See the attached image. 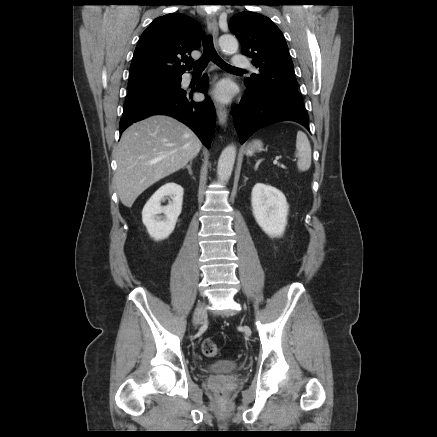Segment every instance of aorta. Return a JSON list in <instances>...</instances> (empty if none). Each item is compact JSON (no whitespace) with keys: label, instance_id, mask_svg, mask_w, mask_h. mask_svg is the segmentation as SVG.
Wrapping results in <instances>:
<instances>
[{"label":"aorta","instance_id":"obj_1","mask_svg":"<svg viewBox=\"0 0 437 437\" xmlns=\"http://www.w3.org/2000/svg\"><path fill=\"white\" fill-rule=\"evenodd\" d=\"M219 45L222 52L226 55L234 54L238 50L237 39L230 34H224L219 38ZM236 158V147L227 146L221 153L218 160L217 174L220 182H227L232 174Z\"/></svg>","mask_w":437,"mask_h":437}]
</instances>
